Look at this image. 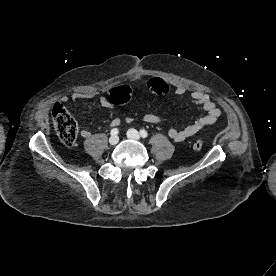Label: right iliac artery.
I'll return each mask as SVG.
<instances>
[{"label": "right iliac artery", "instance_id": "82829eb1", "mask_svg": "<svg viewBox=\"0 0 276 276\" xmlns=\"http://www.w3.org/2000/svg\"><path fill=\"white\" fill-rule=\"evenodd\" d=\"M119 133V130L117 128H113L111 130V135H117Z\"/></svg>", "mask_w": 276, "mask_h": 276}]
</instances>
